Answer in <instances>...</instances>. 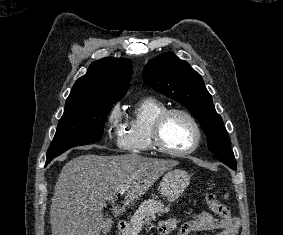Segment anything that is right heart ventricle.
<instances>
[{
  "instance_id": "1",
  "label": "right heart ventricle",
  "mask_w": 283,
  "mask_h": 235,
  "mask_svg": "<svg viewBox=\"0 0 283 235\" xmlns=\"http://www.w3.org/2000/svg\"><path fill=\"white\" fill-rule=\"evenodd\" d=\"M167 105L154 97L140 99L130 110L128 119L120 133V147L130 153H149L154 150L151 129L155 119Z\"/></svg>"
}]
</instances>
